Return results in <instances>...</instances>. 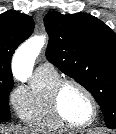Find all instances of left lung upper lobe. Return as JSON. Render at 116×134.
I'll return each instance as SVG.
<instances>
[{
  "instance_id": "5c2ea615",
  "label": "left lung upper lobe",
  "mask_w": 116,
  "mask_h": 134,
  "mask_svg": "<svg viewBox=\"0 0 116 134\" xmlns=\"http://www.w3.org/2000/svg\"><path fill=\"white\" fill-rule=\"evenodd\" d=\"M44 23L50 38L47 59L93 95L106 126L116 129V34L84 13L50 11Z\"/></svg>"
}]
</instances>
